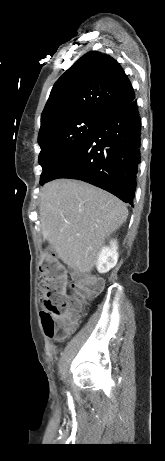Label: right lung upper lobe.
<instances>
[{"mask_svg": "<svg viewBox=\"0 0 165 461\" xmlns=\"http://www.w3.org/2000/svg\"><path fill=\"white\" fill-rule=\"evenodd\" d=\"M135 99L121 65L107 54L91 51L55 83L41 115V134L54 122L79 116L102 119Z\"/></svg>", "mask_w": 165, "mask_h": 461, "instance_id": "cb5924a9", "label": "right lung upper lobe"}]
</instances>
